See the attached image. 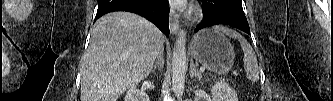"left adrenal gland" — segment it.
<instances>
[{
    "instance_id": "left-adrenal-gland-1",
    "label": "left adrenal gland",
    "mask_w": 333,
    "mask_h": 101,
    "mask_svg": "<svg viewBox=\"0 0 333 101\" xmlns=\"http://www.w3.org/2000/svg\"><path fill=\"white\" fill-rule=\"evenodd\" d=\"M190 78L193 79L194 77L198 78L199 81H201L202 75L196 68L195 64L193 63V60H191V65L189 69Z\"/></svg>"
}]
</instances>
